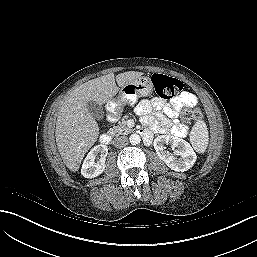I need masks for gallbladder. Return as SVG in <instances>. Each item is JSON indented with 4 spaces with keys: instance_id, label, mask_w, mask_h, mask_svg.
<instances>
[{
    "instance_id": "bac80fb5",
    "label": "gallbladder",
    "mask_w": 257,
    "mask_h": 257,
    "mask_svg": "<svg viewBox=\"0 0 257 257\" xmlns=\"http://www.w3.org/2000/svg\"><path fill=\"white\" fill-rule=\"evenodd\" d=\"M87 109L88 112L93 116V118L97 120H101L103 118V109L95 101H89L87 103Z\"/></svg>"
}]
</instances>
